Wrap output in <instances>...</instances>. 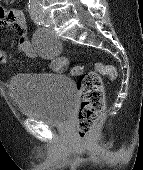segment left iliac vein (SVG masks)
Returning a JSON list of instances; mask_svg holds the SVG:
<instances>
[{
	"label": "left iliac vein",
	"instance_id": "4c4485c4",
	"mask_svg": "<svg viewBox=\"0 0 143 170\" xmlns=\"http://www.w3.org/2000/svg\"><path fill=\"white\" fill-rule=\"evenodd\" d=\"M47 23H48V27L52 26V22H51V19H50V18H48Z\"/></svg>",
	"mask_w": 143,
	"mask_h": 170
}]
</instances>
